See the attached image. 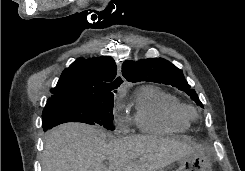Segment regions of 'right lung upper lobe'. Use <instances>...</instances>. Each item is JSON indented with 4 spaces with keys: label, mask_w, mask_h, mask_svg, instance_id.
<instances>
[{
    "label": "right lung upper lobe",
    "mask_w": 245,
    "mask_h": 171,
    "mask_svg": "<svg viewBox=\"0 0 245 171\" xmlns=\"http://www.w3.org/2000/svg\"><path fill=\"white\" fill-rule=\"evenodd\" d=\"M116 64L109 56L78 58L66 68L50 92L47 102L59 100H90L113 95L122 80L116 76Z\"/></svg>",
    "instance_id": "cb5924a9"
}]
</instances>
